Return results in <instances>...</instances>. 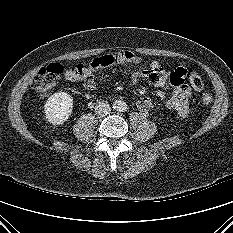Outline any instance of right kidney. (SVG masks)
<instances>
[{
    "label": "right kidney",
    "mask_w": 233,
    "mask_h": 233,
    "mask_svg": "<svg viewBox=\"0 0 233 233\" xmlns=\"http://www.w3.org/2000/svg\"><path fill=\"white\" fill-rule=\"evenodd\" d=\"M72 110L73 98L65 92L51 95L44 105L46 119L53 125H62L70 118Z\"/></svg>",
    "instance_id": "1"
}]
</instances>
